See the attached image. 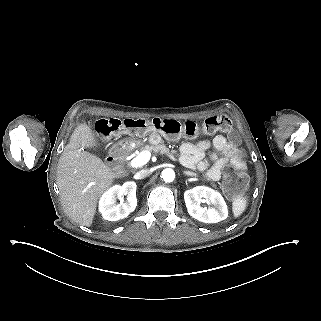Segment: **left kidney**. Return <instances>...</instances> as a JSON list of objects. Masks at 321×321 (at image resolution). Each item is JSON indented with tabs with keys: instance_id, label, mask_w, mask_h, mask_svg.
Returning a JSON list of instances; mask_svg holds the SVG:
<instances>
[{
	"instance_id": "5707ae66",
	"label": "left kidney",
	"mask_w": 321,
	"mask_h": 321,
	"mask_svg": "<svg viewBox=\"0 0 321 321\" xmlns=\"http://www.w3.org/2000/svg\"><path fill=\"white\" fill-rule=\"evenodd\" d=\"M185 204L188 213L194 219L204 223H218L228 217L226 203L222 196L206 186H195L184 193ZM205 201L209 205L207 210L200 207Z\"/></svg>"
}]
</instances>
